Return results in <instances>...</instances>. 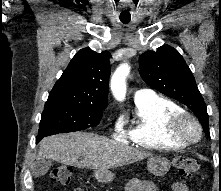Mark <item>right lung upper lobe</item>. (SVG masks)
Listing matches in <instances>:
<instances>
[{
	"label": "right lung upper lobe",
	"mask_w": 221,
	"mask_h": 191,
	"mask_svg": "<svg viewBox=\"0 0 221 191\" xmlns=\"http://www.w3.org/2000/svg\"><path fill=\"white\" fill-rule=\"evenodd\" d=\"M108 51L81 49L51 90L45 106L81 104L107 107L110 76Z\"/></svg>",
	"instance_id": "1"
}]
</instances>
